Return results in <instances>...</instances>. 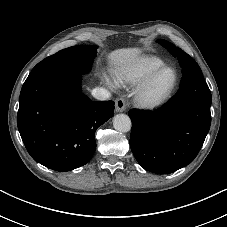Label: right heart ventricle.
Returning a JSON list of instances; mask_svg holds the SVG:
<instances>
[{"mask_svg":"<svg viewBox=\"0 0 227 227\" xmlns=\"http://www.w3.org/2000/svg\"><path fill=\"white\" fill-rule=\"evenodd\" d=\"M164 65L165 62L161 58L155 56L143 57L123 67L116 79L121 84L139 85L153 71Z\"/></svg>","mask_w":227,"mask_h":227,"instance_id":"1","label":"right heart ventricle"}]
</instances>
